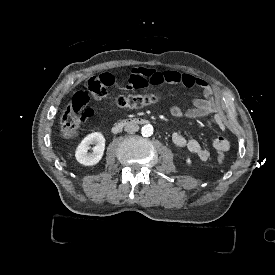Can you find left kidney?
I'll list each match as a JSON object with an SVG mask.
<instances>
[{
	"mask_svg": "<svg viewBox=\"0 0 275 275\" xmlns=\"http://www.w3.org/2000/svg\"><path fill=\"white\" fill-rule=\"evenodd\" d=\"M186 162H187L188 165L191 164V160L189 158L186 160Z\"/></svg>",
	"mask_w": 275,
	"mask_h": 275,
	"instance_id": "obj_1",
	"label": "left kidney"
}]
</instances>
